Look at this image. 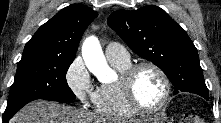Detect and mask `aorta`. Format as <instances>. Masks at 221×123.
<instances>
[{
  "mask_svg": "<svg viewBox=\"0 0 221 123\" xmlns=\"http://www.w3.org/2000/svg\"><path fill=\"white\" fill-rule=\"evenodd\" d=\"M82 57L89 71L96 75L99 80L106 78L110 69L95 36H90L83 42Z\"/></svg>",
  "mask_w": 221,
  "mask_h": 123,
  "instance_id": "1",
  "label": "aorta"
}]
</instances>
